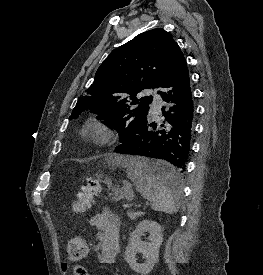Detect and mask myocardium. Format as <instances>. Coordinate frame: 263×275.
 <instances>
[{
  "label": "myocardium",
  "mask_w": 263,
  "mask_h": 275,
  "mask_svg": "<svg viewBox=\"0 0 263 275\" xmlns=\"http://www.w3.org/2000/svg\"><path fill=\"white\" fill-rule=\"evenodd\" d=\"M87 129L89 137L100 144L108 143L113 135L110 126L97 118H93L88 122Z\"/></svg>",
  "instance_id": "obj_1"
}]
</instances>
